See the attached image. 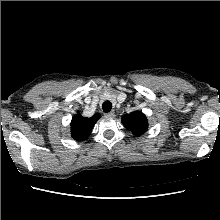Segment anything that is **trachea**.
Returning a JSON list of instances; mask_svg holds the SVG:
<instances>
[{
	"label": "trachea",
	"instance_id": "trachea-1",
	"mask_svg": "<svg viewBox=\"0 0 220 220\" xmlns=\"http://www.w3.org/2000/svg\"><path fill=\"white\" fill-rule=\"evenodd\" d=\"M102 109H103L104 112H110L111 109H112V103L110 101H105L102 104Z\"/></svg>",
	"mask_w": 220,
	"mask_h": 220
}]
</instances>
